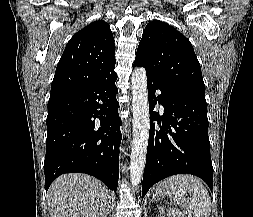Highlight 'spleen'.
<instances>
[{
	"label": "spleen",
	"mask_w": 253,
	"mask_h": 217,
	"mask_svg": "<svg viewBox=\"0 0 253 217\" xmlns=\"http://www.w3.org/2000/svg\"><path fill=\"white\" fill-rule=\"evenodd\" d=\"M172 189V200L181 206H187L195 217H210L211 200L205 186L194 176L179 174L168 178ZM187 193L192 195L188 200Z\"/></svg>",
	"instance_id": "obj_1"
}]
</instances>
